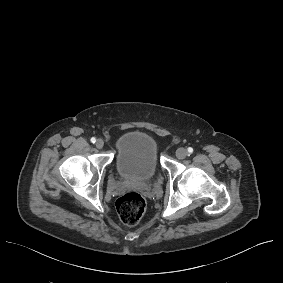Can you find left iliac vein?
<instances>
[{"mask_svg": "<svg viewBox=\"0 0 283 283\" xmlns=\"http://www.w3.org/2000/svg\"><path fill=\"white\" fill-rule=\"evenodd\" d=\"M187 155H188V151L185 148L181 147L176 150V156L180 159L186 158Z\"/></svg>", "mask_w": 283, "mask_h": 283, "instance_id": "1", "label": "left iliac vein"}]
</instances>
